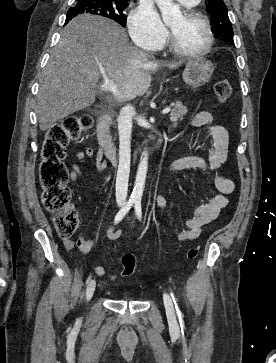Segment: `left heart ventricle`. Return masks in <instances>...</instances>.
I'll use <instances>...</instances> for the list:
<instances>
[{
	"mask_svg": "<svg viewBox=\"0 0 276 363\" xmlns=\"http://www.w3.org/2000/svg\"><path fill=\"white\" fill-rule=\"evenodd\" d=\"M170 28L178 44L186 50L199 51L207 43L205 26L199 20L180 15L170 24Z\"/></svg>",
	"mask_w": 276,
	"mask_h": 363,
	"instance_id": "b2bd125f",
	"label": "left heart ventricle"
}]
</instances>
